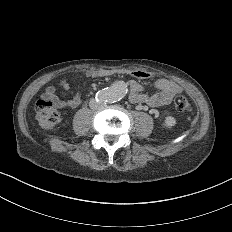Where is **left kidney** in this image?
<instances>
[{"label":"left kidney","instance_id":"5707ae66","mask_svg":"<svg viewBox=\"0 0 232 232\" xmlns=\"http://www.w3.org/2000/svg\"><path fill=\"white\" fill-rule=\"evenodd\" d=\"M176 124V120L175 118L171 117V116H168L166 117L165 119V126L167 127H172Z\"/></svg>","mask_w":232,"mask_h":232}]
</instances>
